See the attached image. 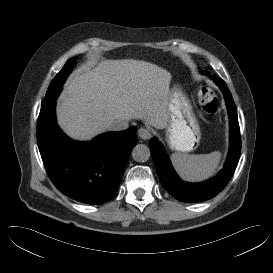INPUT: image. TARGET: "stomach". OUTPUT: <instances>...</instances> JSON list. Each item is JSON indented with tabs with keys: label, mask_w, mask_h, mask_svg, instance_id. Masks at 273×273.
I'll return each mask as SVG.
<instances>
[{
	"label": "stomach",
	"mask_w": 273,
	"mask_h": 273,
	"mask_svg": "<svg viewBox=\"0 0 273 273\" xmlns=\"http://www.w3.org/2000/svg\"><path fill=\"white\" fill-rule=\"evenodd\" d=\"M167 140L172 150L189 152L199 144L201 132L192 105L179 85L169 92Z\"/></svg>",
	"instance_id": "0dacf381"
}]
</instances>
